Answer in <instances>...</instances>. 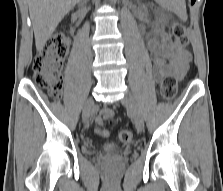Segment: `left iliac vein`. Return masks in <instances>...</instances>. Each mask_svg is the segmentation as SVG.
Instances as JSON below:
<instances>
[{
	"label": "left iliac vein",
	"instance_id": "4c4485c4",
	"mask_svg": "<svg viewBox=\"0 0 223 191\" xmlns=\"http://www.w3.org/2000/svg\"><path fill=\"white\" fill-rule=\"evenodd\" d=\"M121 103L127 109L128 113L130 114L137 131L141 132L144 128V121H143L142 113H141L134 97L130 93H126L124 98L122 99Z\"/></svg>",
	"mask_w": 223,
	"mask_h": 191
}]
</instances>
